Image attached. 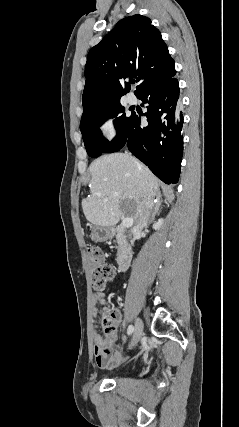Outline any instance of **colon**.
<instances>
[{"label":"colon","mask_w":239,"mask_h":427,"mask_svg":"<svg viewBox=\"0 0 239 427\" xmlns=\"http://www.w3.org/2000/svg\"><path fill=\"white\" fill-rule=\"evenodd\" d=\"M88 267L92 287L97 291L103 290L106 287L107 282L114 276V269L112 265L105 262L104 252L99 247L93 246L88 249ZM114 325L115 323L112 313L105 311L103 315V326L107 335L112 332ZM104 342L107 346L110 342V338H105Z\"/></svg>","instance_id":"5ec220e1"}]
</instances>
